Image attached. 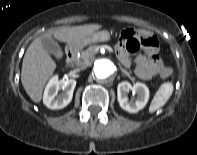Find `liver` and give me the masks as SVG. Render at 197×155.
Returning a JSON list of instances; mask_svg holds the SVG:
<instances>
[{"label": "liver", "instance_id": "liver-1", "mask_svg": "<svg viewBox=\"0 0 197 155\" xmlns=\"http://www.w3.org/2000/svg\"><path fill=\"white\" fill-rule=\"evenodd\" d=\"M100 28L101 25L97 24L60 27L32 41L24 55L21 70L22 85L32 101L35 103L41 101L45 84L56 69L55 62L43 47L42 39L53 36L61 42L72 45Z\"/></svg>", "mask_w": 197, "mask_h": 155}]
</instances>
